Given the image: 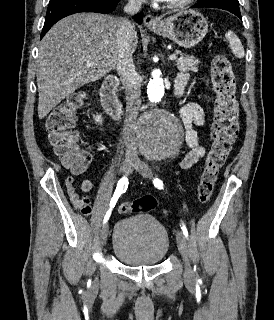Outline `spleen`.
<instances>
[{"instance_id": "obj_1", "label": "spleen", "mask_w": 274, "mask_h": 320, "mask_svg": "<svg viewBox=\"0 0 274 320\" xmlns=\"http://www.w3.org/2000/svg\"><path fill=\"white\" fill-rule=\"evenodd\" d=\"M226 40L229 42V46L232 50V54H234L235 58H244V48L237 36H235L234 32L228 30L225 34Z\"/></svg>"}]
</instances>
